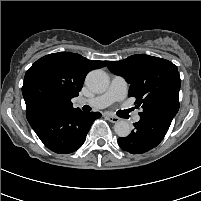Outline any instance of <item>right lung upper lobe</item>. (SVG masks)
I'll return each instance as SVG.
<instances>
[{
    "instance_id": "right-lung-upper-lobe-1",
    "label": "right lung upper lobe",
    "mask_w": 201,
    "mask_h": 201,
    "mask_svg": "<svg viewBox=\"0 0 201 201\" xmlns=\"http://www.w3.org/2000/svg\"><path fill=\"white\" fill-rule=\"evenodd\" d=\"M106 65L79 54L59 52L37 60L26 72L22 87L26 112L37 108L74 110L71 99L79 95L86 75Z\"/></svg>"
}]
</instances>
